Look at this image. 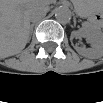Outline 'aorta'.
<instances>
[{
    "label": "aorta",
    "instance_id": "762f6f07",
    "mask_svg": "<svg viewBox=\"0 0 103 103\" xmlns=\"http://www.w3.org/2000/svg\"><path fill=\"white\" fill-rule=\"evenodd\" d=\"M55 17L56 19L63 24H66L71 19V11L66 6H59L55 9Z\"/></svg>",
    "mask_w": 103,
    "mask_h": 103
}]
</instances>
